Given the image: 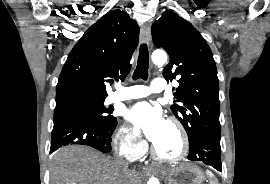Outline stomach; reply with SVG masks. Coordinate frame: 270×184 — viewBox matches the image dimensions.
Segmentation results:
<instances>
[{"mask_svg": "<svg viewBox=\"0 0 270 184\" xmlns=\"http://www.w3.org/2000/svg\"><path fill=\"white\" fill-rule=\"evenodd\" d=\"M166 184H203L205 176L193 163H182L164 172Z\"/></svg>", "mask_w": 270, "mask_h": 184, "instance_id": "0dacf381", "label": "stomach"}]
</instances>
